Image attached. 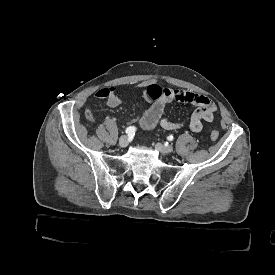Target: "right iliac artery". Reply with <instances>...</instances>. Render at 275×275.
<instances>
[{"instance_id": "82829eb1", "label": "right iliac artery", "mask_w": 275, "mask_h": 275, "mask_svg": "<svg viewBox=\"0 0 275 275\" xmlns=\"http://www.w3.org/2000/svg\"><path fill=\"white\" fill-rule=\"evenodd\" d=\"M136 131V128L134 126H130L125 130V133L128 135H134Z\"/></svg>"}]
</instances>
